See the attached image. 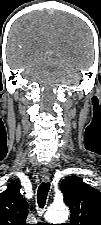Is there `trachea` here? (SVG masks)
<instances>
[{"instance_id":"obj_1","label":"trachea","mask_w":101,"mask_h":225,"mask_svg":"<svg viewBox=\"0 0 101 225\" xmlns=\"http://www.w3.org/2000/svg\"><path fill=\"white\" fill-rule=\"evenodd\" d=\"M49 189H50V183L48 182H42L38 188L37 202H38L39 208L41 209L44 208L45 206Z\"/></svg>"}]
</instances>
